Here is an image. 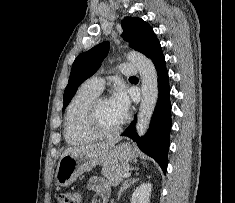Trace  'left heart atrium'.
<instances>
[{"label":"left heart atrium","instance_id":"39dd6f15","mask_svg":"<svg viewBox=\"0 0 235 203\" xmlns=\"http://www.w3.org/2000/svg\"><path fill=\"white\" fill-rule=\"evenodd\" d=\"M109 100L123 117L127 116L129 110V99L122 89L116 90Z\"/></svg>","mask_w":235,"mask_h":203}]
</instances>
